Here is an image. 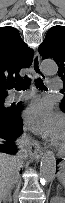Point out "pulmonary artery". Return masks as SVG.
<instances>
[{
  "instance_id": "pulmonary-artery-1",
  "label": "pulmonary artery",
  "mask_w": 65,
  "mask_h": 203,
  "mask_svg": "<svg viewBox=\"0 0 65 203\" xmlns=\"http://www.w3.org/2000/svg\"><path fill=\"white\" fill-rule=\"evenodd\" d=\"M48 86L51 91H59L60 88L62 87L59 80H55V79H51L48 83ZM33 96H34V93L28 92V93L13 94L10 96L9 99L11 102H15V101H20V100L30 99Z\"/></svg>"
}]
</instances>
